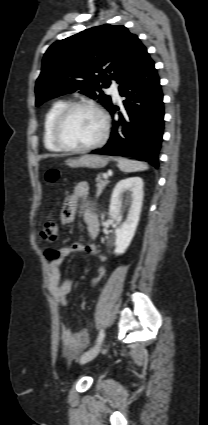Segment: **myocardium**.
I'll list each match as a JSON object with an SVG mask.
<instances>
[{"label": "myocardium", "mask_w": 208, "mask_h": 425, "mask_svg": "<svg viewBox=\"0 0 208 425\" xmlns=\"http://www.w3.org/2000/svg\"><path fill=\"white\" fill-rule=\"evenodd\" d=\"M79 108H86L96 112L101 118L102 125H103L100 137L92 144H89L84 147L69 146L61 138V131L68 116L71 114V112ZM109 130H110V119L108 114L99 105L90 101L81 100V101H75V102L66 104L64 108L59 112L53 124L52 139L55 145L58 148H60L62 151H66L69 153H85L102 146L108 138Z\"/></svg>", "instance_id": "obj_1"}]
</instances>
